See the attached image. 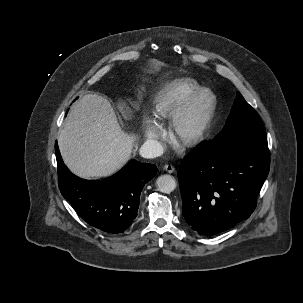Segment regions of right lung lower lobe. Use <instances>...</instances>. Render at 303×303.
I'll use <instances>...</instances> for the list:
<instances>
[{
	"label": "right lung lower lobe",
	"instance_id": "obj_1",
	"mask_svg": "<svg viewBox=\"0 0 303 303\" xmlns=\"http://www.w3.org/2000/svg\"><path fill=\"white\" fill-rule=\"evenodd\" d=\"M58 185L77 214L88 224L107 233L129 229L137 216L140 193L157 167L132 160L119 172L102 181L90 182L72 174L55 143Z\"/></svg>",
	"mask_w": 303,
	"mask_h": 303
}]
</instances>
